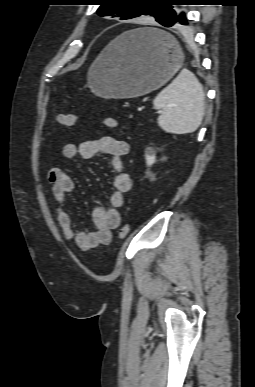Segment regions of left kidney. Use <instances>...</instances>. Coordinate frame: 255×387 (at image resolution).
<instances>
[{"mask_svg":"<svg viewBox=\"0 0 255 387\" xmlns=\"http://www.w3.org/2000/svg\"><path fill=\"white\" fill-rule=\"evenodd\" d=\"M145 158L148 166H151L155 163V155H146Z\"/></svg>","mask_w":255,"mask_h":387,"instance_id":"1","label":"left kidney"}]
</instances>
